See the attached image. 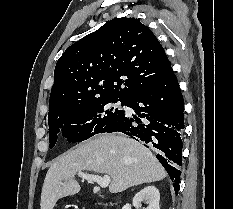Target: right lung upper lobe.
Instances as JSON below:
<instances>
[{"label":"right lung upper lobe","instance_id":"1","mask_svg":"<svg viewBox=\"0 0 233 209\" xmlns=\"http://www.w3.org/2000/svg\"><path fill=\"white\" fill-rule=\"evenodd\" d=\"M156 36L135 18H117L66 49L54 70L49 113L105 98L127 99L171 69Z\"/></svg>","mask_w":233,"mask_h":209}]
</instances>
